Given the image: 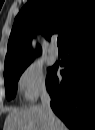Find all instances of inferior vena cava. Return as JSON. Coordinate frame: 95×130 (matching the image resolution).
<instances>
[{
    "mask_svg": "<svg viewBox=\"0 0 95 130\" xmlns=\"http://www.w3.org/2000/svg\"><path fill=\"white\" fill-rule=\"evenodd\" d=\"M51 98L50 95L48 94L47 91H43L41 93V108L43 109V111L45 112V114L48 116V118L51 121V130H54V122H55V115L51 109Z\"/></svg>",
    "mask_w": 95,
    "mask_h": 130,
    "instance_id": "602c4592",
    "label": "inferior vena cava"
}]
</instances>
